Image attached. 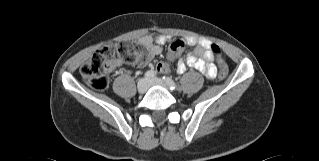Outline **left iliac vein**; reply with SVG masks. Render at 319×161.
Returning a JSON list of instances; mask_svg holds the SVG:
<instances>
[{
  "instance_id": "1",
  "label": "left iliac vein",
  "mask_w": 319,
  "mask_h": 161,
  "mask_svg": "<svg viewBox=\"0 0 319 161\" xmlns=\"http://www.w3.org/2000/svg\"><path fill=\"white\" fill-rule=\"evenodd\" d=\"M149 85L154 86V85H159L162 87H167V84L161 79V78H155V79H151L149 81Z\"/></svg>"
}]
</instances>
